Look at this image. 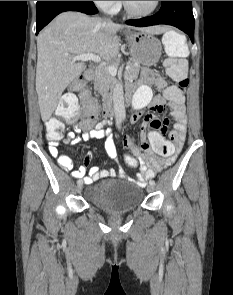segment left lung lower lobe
Listing matches in <instances>:
<instances>
[{"label":"left lung lower lobe","mask_w":233,"mask_h":295,"mask_svg":"<svg viewBox=\"0 0 233 295\" xmlns=\"http://www.w3.org/2000/svg\"><path fill=\"white\" fill-rule=\"evenodd\" d=\"M128 25L146 27L157 24L173 25L187 33L194 43L192 1H162L158 13L151 17L126 21Z\"/></svg>","instance_id":"obj_1"}]
</instances>
